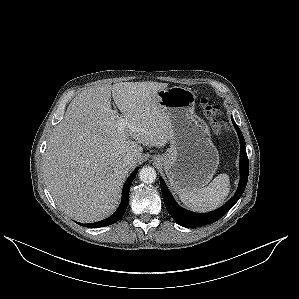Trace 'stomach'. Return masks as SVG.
I'll list each match as a JSON object with an SVG mask.
<instances>
[{"instance_id":"1","label":"stomach","mask_w":299,"mask_h":299,"mask_svg":"<svg viewBox=\"0 0 299 299\" xmlns=\"http://www.w3.org/2000/svg\"><path fill=\"white\" fill-rule=\"evenodd\" d=\"M157 102L170 122V148L153 160L164 166L169 183L177 193L207 185L219 165V154L210 130L195 115L196 96L190 88L174 86L157 92Z\"/></svg>"}]
</instances>
